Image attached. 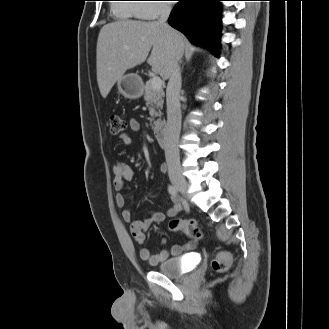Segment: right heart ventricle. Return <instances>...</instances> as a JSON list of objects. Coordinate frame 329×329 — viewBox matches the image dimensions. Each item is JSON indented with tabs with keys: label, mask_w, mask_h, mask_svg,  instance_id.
<instances>
[{
	"label": "right heart ventricle",
	"mask_w": 329,
	"mask_h": 329,
	"mask_svg": "<svg viewBox=\"0 0 329 329\" xmlns=\"http://www.w3.org/2000/svg\"><path fill=\"white\" fill-rule=\"evenodd\" d=\"M121 3L114 4L113 12L116 16L123 19L141 18V4H135L131 0H119Z\"/></svg>",
	"instance_id": "obj_1"
}]
</instances>
